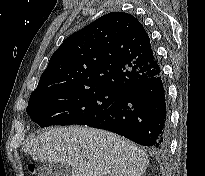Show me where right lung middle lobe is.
<instances>
[{
	"label": "right lung middle lobe",
	"instance_id": "dd1d6c3e",
	"mask_svg": "<svg viewBox=\"0 0 205 176\" xmlns=\"http://www.w3.org/2000/svg\"><path fill=\"white\" fill-rule=\"evenodd\" d=\"M121 95L111 88L62 90L30 96L26 109L40 127L87 125L102 115Z\"/></svg>",
	"mask_w": 205,
	"mask_h": 176
}]
</instances>
